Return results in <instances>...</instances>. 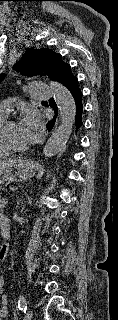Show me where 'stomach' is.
Listing matches in <instances>:
<instances>
[{
    "instance_id": "0dacf381",
    "label": "stomach",
    "mask_w": 118,
    "mask_h": 320,
    "mask_svg": "<svg viewBox=\"0 0 118 320\" xmlns=\"http://www.w3.org/2000/svg\"><path fill=\"white\" fill-rule=\"evenodd\" d=\"M38 166L31 160L18 159L13 163L0 167V184L13 181L20 182L31 178Z\"/></svg>"
}]
</instances>
